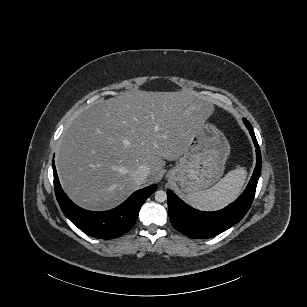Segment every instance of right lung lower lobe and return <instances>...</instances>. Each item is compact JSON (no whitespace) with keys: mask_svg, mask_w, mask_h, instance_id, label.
<instances>
[{"mask_svg":"<svg viewBox=\"0 0 307 307\" xmlns=\"http://www.w3.org/2000/svg\"><path fill=\"white\" fill-rule=\"evenodd\" d=\"M54 188L57 201L66 217L84 233L100 239H113L128 232L137 220L144 201L157 189L151 185L134 192L118 207L104 212H92L75 205L62 190L54 161Z\"/></svg>","mask_w":307,"mask_h":307,"instance_id":"obj_1","label":"right lung lower lobe"}]
</instances>
